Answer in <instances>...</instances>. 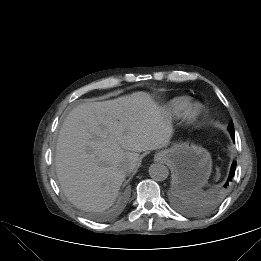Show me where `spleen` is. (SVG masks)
<instances>
[{
    "label": "spleen",
    "mask_w": 261,
    "mask_h": 261,
    "mask_svg": "<svg viewBox=\"0 0 261 261\" xmlns=\"http://www.w3.org/2000/svg\"><path fill=\"white\" fill-rule=\"evenodd\" d=\"M182 194V196L184 197V198H187V199H195L196 198V196L194 195V194H188V193H181Z\"/></svg>",
    "instance_id": "spleen-1"
}]
</instances>
